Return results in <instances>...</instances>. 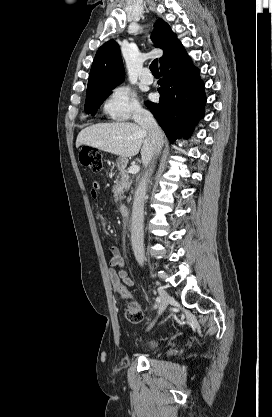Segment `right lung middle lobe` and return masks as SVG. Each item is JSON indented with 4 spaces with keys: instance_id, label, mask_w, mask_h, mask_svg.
I'll use <instances>...</instances> for the list:
<instances>
[{
    "instance_id": "1",
    "label": "right lung middle lobe",
    "mask_w": 272,
    "mask_h": 417,
    "mask_svg": "<svg viewBox=\"0 0 272 417\" xmlns=\"http://www.w3.org/2000/svg\"><path fill=\"white\" fill-rule=\"evenodd\" d=\"M113 88L101 89L97 90L93 93H88L86 96L85 102V111L88 114L95 115L100 105L106 99V97L110 94V91Z\"/></svg>"
}]
</instances>
